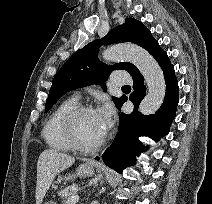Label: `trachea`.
I'll return each instance as SVG.
<instances>
[{
  "mask_svg": "<svg viewBox=\"0 0 212 204\" xmlns=\"http://www.w3.org/2000/svg\"><path fill=\"white\" fill-rule=\"evenodd\" d=\"M122 89H130V86L129 85H125L122 87Z\"/></svg>",
  "mask_w": 212,
  "mask_h": 204,
  "instance_id": "3493384b",
  "label": "trachea"
}]
</instances>
